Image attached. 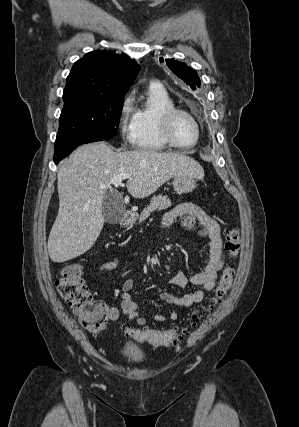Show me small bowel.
Listing matches in <instances>:
<instances>
[{"instance_id":"1","label":"small bowel","mask_w":299,"mask_h":427,"mask_svg":"<svg viewBox=\"0 0 299 427\" xmlns=\"http://www.w3.org/2000/svg\"><path fill=\"white\" fill-rule=\"evenodd\" d=\"M175 222H180L184 230L196 233L209 239L210 249L201 272L187 277L183 273H177L171 278V283L185 287L192 284L200 289L178 297L170 292H162L161 298L166 303L175 307H191L200 303L205 296V292L212 291L216 285L218 274L221 271L224 260V246L221 237L219 224L208 216L200 207L193 203H182L171 211L167 212L162 220V228H169ZM117 262L111 261L100 267L101 272H110L116 269ZM134 286V280L128 279L122 285L121 307L124 315L138 325L145 323V318L138 312L137 304L132 300L130 291ZM108 319L117 321L119 311L112 306H106ZM180 316L178 310L171 311L168 315L156 314L154 320L157 322H166L167 320H177Z\"/></svg>"}]
</instances>
